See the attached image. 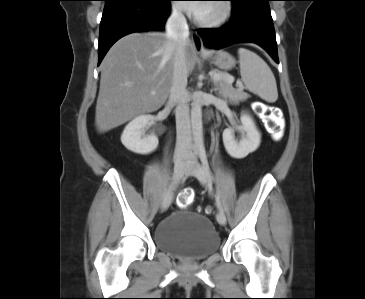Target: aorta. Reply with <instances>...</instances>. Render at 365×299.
Wrapping results in <instances>:
<instances>
[{
	"label": "aorta",
	"instance_id": "762f6f07",
	"mask_svg": "<svg viewBox=\"0 0 365 299\" xmlns=\"http://www.w3.org/2000/svg\"><path fill=\"white\" fill-rule=\"evenodd\" d=\"M191 128L195 147L203 148L202 100L199 95L193 98L191 104Z\"/></svg>",
	"mask_w": 365,
	"mask_h": 299
}]
</instances>
